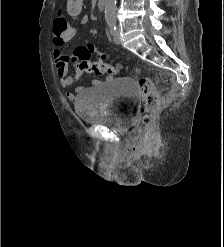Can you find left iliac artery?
I'll use <instances>...</instances> for the list:
<instances>
[{
    "mask_svg": "<svg viewBox=\"0 0 224 247\" xmlns=\"http://www.w3.org/2000/svg\"><path fill=\"white\" fill-rule=\"evenodd\" d=\"M108 25H109V29H110L111 34H113L114 31L116 30V20L115 19H109Z\"/></svg>",
    "mask_w": 224,
    "mask_h": 247,
    "instance_id": "44dca946",
    "label": "left iliac artery"
}]
</instances>
